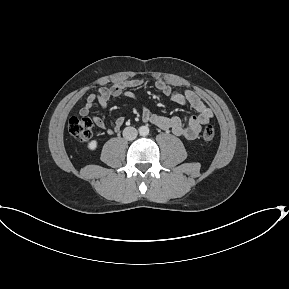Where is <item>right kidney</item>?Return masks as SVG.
<instances>
[{"label": "right kidney", "mask_w": 289, "mask_h": 289, "mask_svg": "<svg viewBox=\"0 0 289 289\" xmlns=\"http://www.w3.org/2000/svg\"><path fill=\"white\" fill-rule=\"evenodd\" d=\"M97 141L96 140H92L87 144V148L91 151L95 150L97 148Z\"/></svg>", "instance_id": "ca27d5eb"}]
</instances>
